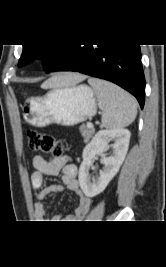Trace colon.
I'll return each instance as SVG.
<instances>
[{
  "instance_id": "5ec220e1",
  "label": "colon",
  "mask_w": 166,
  "mask_h": 267,
  "mask_svg": "<svg viewBox=\"0 0 166 267\" xmlns=\"http://www.w3.org/2000/svg\"><path fill=\"white\" fill-rule=\"evenodd\" d=\"M29 148L32 151H41L50 153L55 157H60L64 154V144L54 138L50 134L39 133L35 130L26 132Z\"/></svg>"
}]
</instances>
